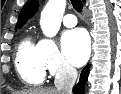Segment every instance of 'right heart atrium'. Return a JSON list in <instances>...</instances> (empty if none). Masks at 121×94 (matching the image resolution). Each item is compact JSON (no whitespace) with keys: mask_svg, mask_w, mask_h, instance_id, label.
I'll use <instances>...</instances> for the list:
<instances>
[{"mask_svg":"<svg viewBox=\"0 0 121 94\" xmlns=\"http://www.w3.org/2000/svg\"><path fill=\"white\" fill-rule=\"evenodd\" d=\"M38 44L41 62L46 71L59 78L72 75V67L64 60L53 40L42 39Z\"/></svg>","mask_w":121,"mask_h":94,"instance_id":"right-heart-atrium-1","label":"right heart atrium"}]
</instances>
